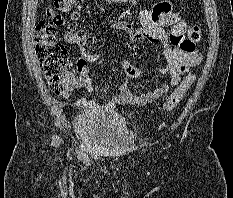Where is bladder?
I'll list each match as a JSON object with an SVG mask.
<instances>
[{"instance_id":"obj_1","label":"bladder","mask_w":233,"mask_h":198,"mask_svg":"<svg viewBox=\"0 0 233 198\" xmlns=\"http://www.w3.org/2000/svg\"><path fill=\"white\" fill-rule=\"evenodd\" d=\"M74 135L85 151L115 152L134 143V133L116 112L85 111L74 123Z\"/></svg>"}]
</instances>
